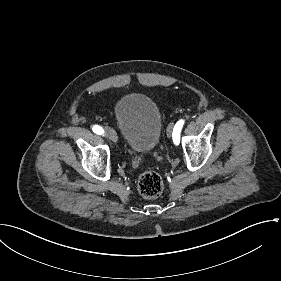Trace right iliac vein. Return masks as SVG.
Returning a JSON list of instances; mask_svg holds the SVG:
<instances>
[{
	"mask_svg": "<svg viewBox=\"0 0 281 281\" xmlns=\"http://www.w3.org/2000/svg\"><path fill=\"white\" fill-rule=\"evenodd\" d=\"M105 132H106V135L113 141V142H117L118 140V137H117V134L116 132L110 128V127H105Z\"/></svg>",
	"mask_w": 281,
	"mask_h": 281,
	"instance_id": "63e3f726",
	"label": "right iliac vein"
}]
</instances>
